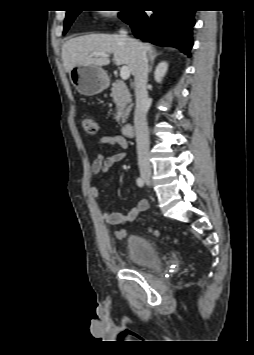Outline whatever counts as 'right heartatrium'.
I'll list each match as a JSON object with an SVG mask.
<instances>
[{
    "instance_id": "d8ad5b80",
    "label": "right heart atrium",
    "mask_w": 254,
    "mask_h": 355,
    "mask_svg": "<svg viewBox=\"0 0 254 355\" xmlns=\"http://www.w3.org/2000/svg\"><path fill=\"white\" fill-rule=\"evenodd\" d=\"M106 16L114 18L116 15L112 12H108V13H106Z\"/></svg>"
}]
</instances>
